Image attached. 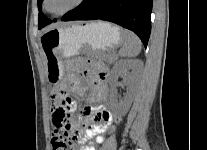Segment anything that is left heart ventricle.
<instances>
[{
    "instance_id": "obj_1",
    "label": "left heart ventricle",
    "mask_w": 207,
    "mask_h": 150,
    "mask_svg": "<svg viewBox=\"0 0 207 150\" xmlns=\"http://www.w3.org/2000/svg\"><path fill=\"white\" fill-rule=\"evenodd\" d=\"M76 0H48V8L52 12H61L75 3Z\"/></svg>"
}]
</instances>
